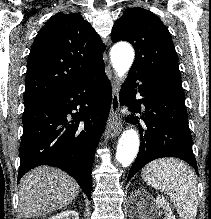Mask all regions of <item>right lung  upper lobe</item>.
I'll list each match as a JSON object with an SVG mask.
<instances>
[{
  "mask_svg": "<svg viewBox=\"0 0 211 219\" xmlns=\"http://www.w3.org/2000/svg\"><path fill=\"white\" fill-rule=\"evenodd\" d=\"M100 36L76 13L52 16L37 34L27 62L25 107L44 101L104 67Z\"/></svg>",
  "mask_w": 211,
  "mask_h": 219,
  "instance_id": "1",
  "label": "right lung upper lobe"
}]
</instances>
